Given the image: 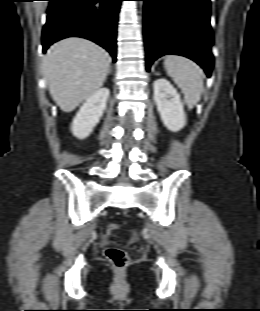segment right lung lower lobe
<instances>
[{"label":"right lung lower lobe","instance_id":"1","mask_svg":"<svg viewBox=\"0 0 260 311\" xmlns=\"http://www.w3.org/2000/svg\"><path fill=\"white\" fill-rule=\"evenodd\" d=\"M42 32L43 52L54 42L71 36L89 39L110 52L116 61V35L123 0H48Z\"/></svg>","mask_w":260,"mask_h":311}]
</instances>
